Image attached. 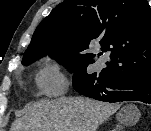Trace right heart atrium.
Returning a JSON list of instances; mask_svg holds the SVG:
<instances>
[{"instance_id": "1", "label": "right heart atrium", "mask_w": 151, "mask_h": 131, "mask_svg": "<svg viewBox=\"0 0 151 131\" xmlns=\"http://www.w3.org/2000/svg\"><path fill=\"white\" fill-rule=\"evenodd\" d=\"M37 85L46 95L56 96L64 92L67 80L62 65L53 57L47 58L37 73Z\"/></svg>"}]
</instances>
